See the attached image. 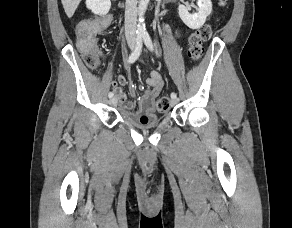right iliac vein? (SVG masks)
Wrapping results in <instances>:
<instances>
[{"mask_svg": "<svg viewBox=\"0 0 292 228\" xmlns=\"http://www.w3.org/2000/svg\"><path fill=\"white\" fill-rule=\"evenodd\" d=\"M134 46H135L134 42H130V43H129V47H130L131 49H133ZM109 102H110L111 105H116V103H117V98H116V97H112V98L110 99Z\"/></svg>", "mask_w": 292, "mask_h": 228, "instance_id": "63e3f726", "label": "right iliac vein"}]
</instances>
